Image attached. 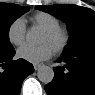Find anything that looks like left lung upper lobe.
<instances>
[{"mask_svg": "<svg viewBox=\"0 0 95 95\" xmlns=\"http://www.w3.org/2000/svg\"><path fill=\"white\" fill-rule=\"evenodd\" d=\"M36 8L66 22L70 39L63 54L95 49V12L93 10L71 4L37 6Z\"/></svg>", "mask_w": 95, "mask_h": 95, "instance_id": "1", "label": "left lung upper lobe"}]
</instances>
